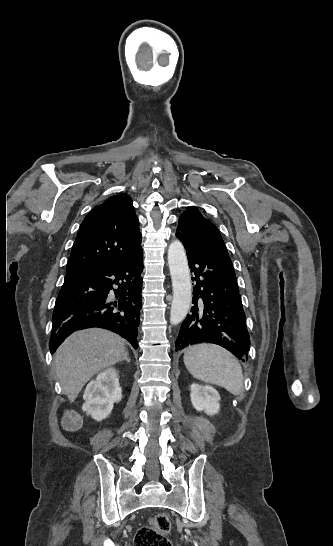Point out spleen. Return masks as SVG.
I'll use <instances>...</instances> for the list:
<instances>
[{
    "mask_svg": "<svg viewBox=\"0 0 333 546\" xmlns=\"http://www.w3.org/2000/svg\"><path fill=\"white\" fill-rule=\"evenodd\" d=\"M184 363L192 376L224 387L234 395L243 389V372L237 359L222 347L198 344L184 352Z\"/></svg>",
    "mask_w": 333,
    "mask_h": 546,
    "instance_id": "3e777b00",
    "label": "spleen"
}]
</instances>
